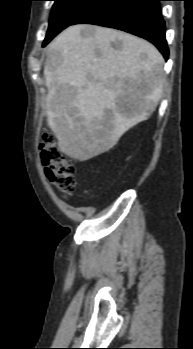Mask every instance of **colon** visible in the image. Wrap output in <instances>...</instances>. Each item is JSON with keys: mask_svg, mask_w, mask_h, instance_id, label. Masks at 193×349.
I'll list each match as a JSON object with an SVG mask.
<instances>
[{"mask_svg": "<svg viewBox=\"0 0 193 349\" xmlns=\"http://www.w3.org/2000/svg\"><path fill=\"white\" fill-rule=\"evenodd\" d=\"M45 174L61 193L69 196L76 187L75 167L59 149L53 134H44L39 145Z\"/></svg>", "mask_w": 193, "mask_h": 349, "instance_id": "obj_1", "label": "colon"}]
</instances>
